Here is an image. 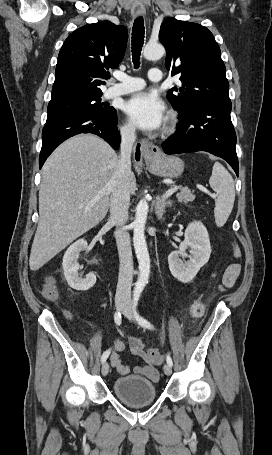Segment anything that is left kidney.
<instances>
[{
	"instance_id": "obj_1",
	"label": "left kidney",
	"mask_w": 272,
	"mask_h": 455,
	"mask_svg": "<svg viewBox=\"0 0 272 455\" xmlns=\"http://www.w3.org/2000/svg\"><path fill=\"white\" fill-rule=\"evenodd\" d=\"M190 254H187V250ZM211 254L209 235L200 221L190 223L185 230V239L179 250L170 253L168 264L171 274L182 283H189L204 266ZM189 258L183 262L181 258Z\"/></svg>"
}]
</instances>
